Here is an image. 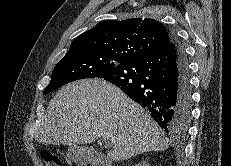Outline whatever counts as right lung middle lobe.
<instances>
[{"instance_id": "dd1d6c3e", "label": "right lung middle lobe", "mask_w": 231, "mask_h": 166, "mask_svg": "<svg viewBox=\"0 0 231 166\" xmlns=\"http://www.w3.org/2000/svg\"><path fill=\"white\" fill-rule=\"evenodd\" d=\"M125 62L127 60L124 58L109 56L94 50L68 53L54 68L51 81L43 93H49L75 80L98 77Z\"/></svg>"}]
</instances>
